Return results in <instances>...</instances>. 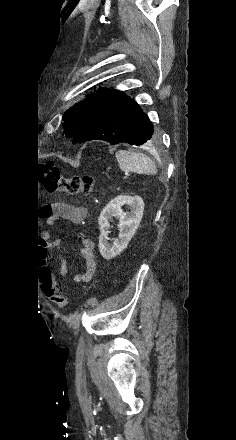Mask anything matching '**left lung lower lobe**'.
<instances>
[{"label": "left lung lower lobe", "mask_w": 236, "mask_h": 440, "mask_svg": "<svg viewBox=\"0 0 236 440\" xmlns=\"http://www.w3.org/2000/svg\"><path fill=\"white\" fill-rule=\"evenodd\" d=\"M91 140H104L111 144L152 145L158 141V134L139 105L121 93L82 127L73 143Z\"/></svg>", "instance_id": "left-lung-lower-lobe-1"}]
</instances>
